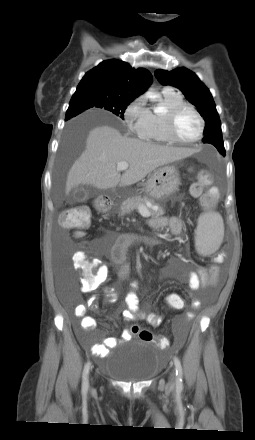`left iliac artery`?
I'll return each instance as SVG.
<instances>
[{
	"label": "left iliac artery",
	"instance_id": "1",
	"mask_svg": "<svg viewBox=\"0 0 255 440\" xmlns=\"http://www.w3.org/2000/svg\"><path fill=\"white\" fill-rule=\"evenodd\" d=\"M174 364L176 368V386L177 389L181 390L183 388V379H182V366L181 362L177 357H174Z\"/></svg>",
	"mask_w": 255,
	"mask_h": 440
}]
</instances>
